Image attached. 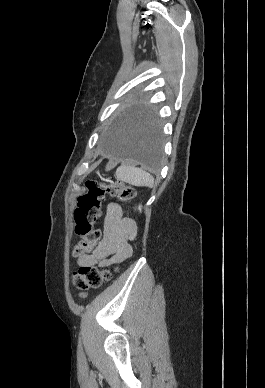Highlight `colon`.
I'll return each instance as SVG.
<instances>
[{"instance_id":"1","label":"colon","mask_w":265,"mask_h":388,"mask_svg":"<svg viewBox=\"0 0 265 388\" xmlns=\"http://www.w3.org/2000/svg\"><path fill=\"white\" fill-rule=\"evenodd\" d=\"M86 186V191L77 198V207L74 211V231L79 237V242L73 250L75 256L88 254L98 242L100 233L95 228V224L101 214V204L105 198L117 197L123 203L128 204L135 196L134 189L122 183L88 182ZM112 273L110 269L81 266L73 273V285L81 297H86L89 289L99 288L111 279Z\"/></svg>"}]
</instances>
